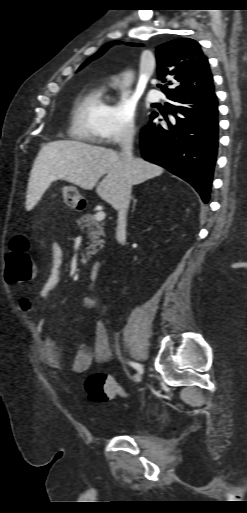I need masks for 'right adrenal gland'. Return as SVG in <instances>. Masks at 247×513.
<instances>
[{
	"mask_svg": "<svg viewBox=\"0 0 247 513\" xmlns=\"http://www.w3.org/2000/svg\"><path fill=\"white\" fill-rule=\"evenodd\" d=\"M131 199L133 200V208H135L137 200L135 198H133V197Z\"/></svg>",
	"mask_w": 247,
	"mask_h": 513,
	"instance_id": "right-adrenal-gland-1",
	"label": "right adrenal gland"
}]
</instances>
